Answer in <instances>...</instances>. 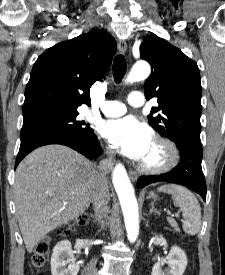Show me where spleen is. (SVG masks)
<instances>
[{"label":"spleen","instance_id":"1","mask_svg":"<svg viewBox=\"0 0 225 275\" xmlns=\"http://www.w3.org/2000/svg\"><path fill=\"white\" fill-rule=\"evenodd\" d=\"M158 191L171 194L174 205L182 211L184 232L192 236L198 234L201 228V208L195 195L176 184L160 186Z\"/></svg>","mask_w":225,"mask_h":275}]
</instances>
